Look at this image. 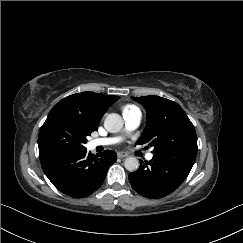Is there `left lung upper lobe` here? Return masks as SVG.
Segmentation results:
<instances>
[{"label": "left lung upper lobe", "mask_w": 243, "mask_h": 243, "mask_svg": "<svg viewBox=\"0 0 243 243\" xmlns=\"http://www.w3.org/2000/svg\"><path fill=\"white\" fill-rule=\"evenodd\" d=\"M147 113L146 127L136 144H148L153 153L183 144H197L195 128L174 101L159 96L132 97Z\"/></svg>", "instance_id": "1"}]
</instances>
